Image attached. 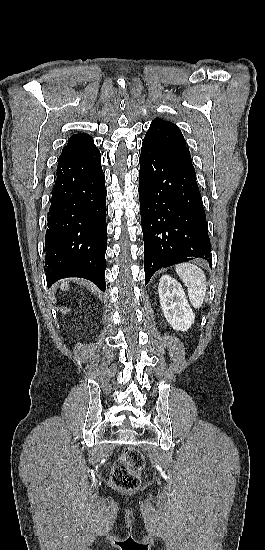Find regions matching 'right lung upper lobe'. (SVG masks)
<instances>
[{"label": "right lung upper lobe", "instance_id": "1", "mask_svg": "<svg viewBox=\"0 0 265 550\" xmlns=\"http://www.w3.org/2000/svg\"><path fill=\"white\" fill-rule=\"evenodd\" d=\"M94 149H96V146L93 142L92 137H90L86 133H77L72 135L70 139H68V143L64 147L59 159L86 153Z\"/></svg>", "mask_w": 265, "mask_h": 550}]
</instances>
